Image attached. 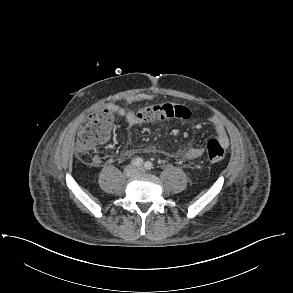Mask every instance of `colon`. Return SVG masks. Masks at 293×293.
Listing matches in <instances>:
<instances>
[{
  "mask_svg": "<svg viewBox=\"0 0 293 293\" xmlns=\"http://www.w3.org/2000/svg\"><path fill=\"white\" fill-rule=\"evenodd\" d=\"M191 110L177 103H161L144 107L138 112V117L144 121H156L165 118L188 119ZM114 121L113 113L109 110H99L91 113L83 123L76 142V151L83 156L88 154L96 145L104 142L111 131ZM207 158L211 162H219L225 157V150L216 139H210L206 144Z\"/></svg>",
  "mask_w": 293,
  "mask_h": 293,
  "instance_id": "1",
  "label": "colon"
}]
</instances>
